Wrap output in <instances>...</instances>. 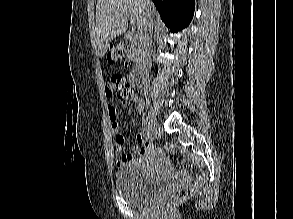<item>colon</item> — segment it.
Segmentation results:
<instances>
[{
	"mask_svg": "<svg viewBox=\"0 0 293 219\" xmlns=\"http://www.w3.org/2000/svg\"><path fill=\"white\" fill-rule=\"evenodd\" d=\"M108 59L111 63L124 62L130 63L133 60V53L126 44H120L110 48ZM109 86L112 91L115 92L118 100L122 103H127L132 95L133 91L127 84L126 80L121 75H114L111 77ZM167 149L172 151L173 146L168 145ZM206 180V174L202 173L193 182H184L179 188H177L171 196V202H178L189 198Z\"/></svg>",
	"mask_w": 293,
	"mask_h": 219,
	"instance_id": "colon-1",
	"label": "colon"
}]
</instances>
